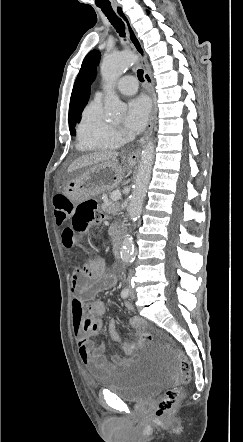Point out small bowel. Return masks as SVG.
<instances>
[{
  "mask_svg": "<svg viewBox=\"0 0 243 442\" xmlns=\"http://www.w3.org/2000/svg\"><path fill=\"white\" fill-rule=\"evenodd\" d=\"M116 282V275L106 272L105 265L100 258L90 259L84 268H75L73 274L74 334L79 356L89 372L95 377L127 366L141 348L139 342L127 343L122 340L114 320H110L108 331L111 339L119 344L126 357L114 354L108 358L105 355L104 344L96 343L91 339L101 331L102 317L106 312L105 303L92 300V298L98 292L112 288ZM125 306L129 310L132 309V305L129 303H126ZM128 323L139 331L146 327L145 321L137 316L130 317Z\"/></svg>",
  "mask_w": 243,
  "mask_h": 442,
  "instance_id": "1",
  "label": "small bowel"
}]
</instances>
